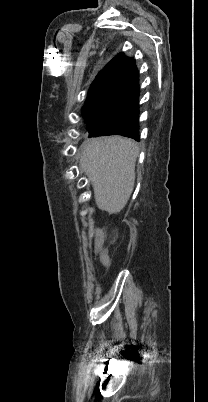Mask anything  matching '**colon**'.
Listing matches in <instances>:
<instances>
[{"label": "colon", "mask_w": 208, "mask_h": 402, "mask_svg": "<svg viewBox=\"0 0 208 402\" xmlns=\"http://www.w3.org/2000/svg\"><path fill=\"white\" fill-rule=\"evenodd\" d=\"M95 242H96V244L101 245V244H103L104 239H103V237L98 236V237H96ZM99 256H100V258L105 259V258H107L108 253H107V251L102 250V251H100Z\"/></svg>", "instance_id": "1"}]
</instances>
